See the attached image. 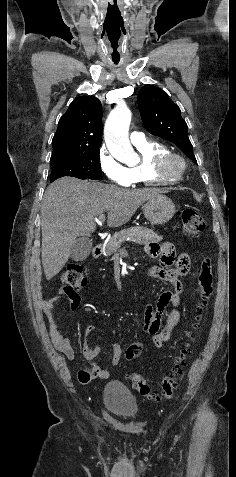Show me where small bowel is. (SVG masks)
<instances>
[{
  "instance_id": "c3829d8e",
  "label": "small bowel",
  "mask_w": 236,
  "mask_h": 477,
  "mask_svg": "<svg viewBox=\"0 0 236 477\" xmlns=\"http://www.w3.org/2000/svg\"><path fill=\"white\" fill-rule=\"evenodd\" d=\"M148 256L159 258L160 264L151 270V275L159 280L172 284V289L164 291L155 306L147 305L144 311L143 330L151 336L152 345L155 348H161L170 339L174 330L178 326L181 315L177 309L181 303V295L184 287L180 281L190 267V257L187 253L176 255L175 248L170 242L162 244L151 243L146 247ZM186 255L188 261L184 262L182 257ZM186 263V264H185ZM66 297L71 310H75L80 305V297L77 294H66L61 289L57 296L46 299L42 303V310L47 318L49 325L50 338L58 351L65 354L69 359L74 358V350L68 339L60 332L59 323L54 315L56 302ZM168 307L173 309L168 313L165 323L162 326V316ZM95 325L85 327L84 336L87 338L96 331ZM82 353L87 362V369L78 372V381L81 384H88L93 379H109V371L100 368L95 359L102 353L100 346H90L85 342L82 346ZM123 354L121 345L115 343L112 345L111 363L114 366L119 365Z\"/></svg>"
}]
</instances>
